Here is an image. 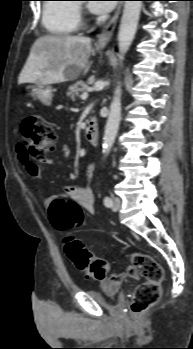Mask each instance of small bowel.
<instances>
[{
  "label": "small bowel",
  "instance_id": "small-bowel-1",
  "mask_svg": "<svg viewBox=\"0 0 193 349\" xmlns=\"http://www.w3.org/2000/svg\"><path fill=\"white\" fill-rule=\"evenodd\" d=\"M18 159L20 163L26 168L29 174L35 177H40L41 173L37 167L31 169V160L24 154L22 146L17 147ZM61 153L65 158L71 156V150L68 145L64 144L61 147ZM94 171V165L90 164L86 170L87 179H91ZM69 198L79 204L88 214H94V195L91 187L86 186H65L61 194L50 195L45 199V206H50L56 199ZM138 276L136 270L132 265L128 266L125 271L114 273L105 279L101 280V287L109 292L116 291L120 285L129 278H136Z\"/></svg>",
  "mask_w": 193,
  "mask_h": 349
}]
</instances>
